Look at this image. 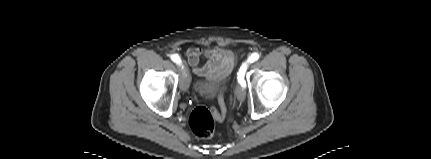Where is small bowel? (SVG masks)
<instances>
[{"mask_svg":"<svg viewBox=\"0 0 431 159\" xmlns=\"http://www.w3.org/2000/svg\"><path fill=\"white\" fill-rule=\"evenodd\" d=\"M186 56L193 73L205 78L228 77L236 62L234 53L224 48H189ZM201 57L206 63L200 64Z\"/></svg>","mask_w":431,"mask_h":159,"instance_id":"1","label":"small bowel"}]
</instances>
